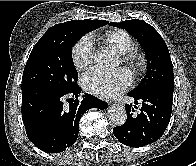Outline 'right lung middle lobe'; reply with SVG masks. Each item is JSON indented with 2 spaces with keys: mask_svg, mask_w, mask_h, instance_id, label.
<instances>
[{
  "mask_svg": "<svg viewBox=\"0 0 196 166\" xmlns=\"http://www.w3.org/2000/svg\"><path fill=\"white\" fill-rule=\"evenodd\" d=\"M100 25L83 20L61 23L50 34L43 35L32 49L22 77V91L47 88L69 92L77 86L78 74L71 50L76 41Z\"/></svg>",
  "mask_w": 196,
  "mask_h": 166,
  "instance_id": "right-lung-middle-lobe-1",
  "label": "right lung middle lobe"
}]
</instances>
